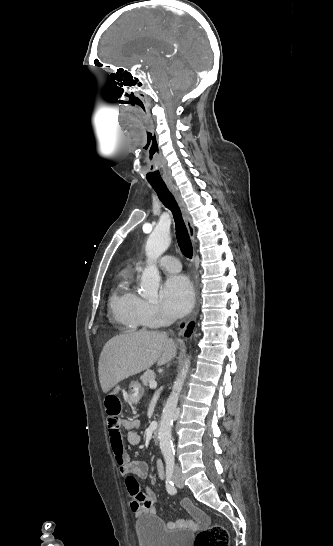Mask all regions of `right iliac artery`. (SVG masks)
I'll use <instances>...</instances> for the list:
<instances>
[{"label":"right iliac artery","mask_w":333,"mask_h":546,"mask_svg":"<svg viewBox=\"0 0 333 546\" xmlns=\"http://www.w3.org/2000/svg\"><path fill=\"white\" fill-rule=\"evenodd\" d=\"M173 470H174V458L167 457L166 458V490L171 495H174L177 492L174 486V483L171 480L173 475Z\"/></svg>","instance_id":"1"}]
</instances>
